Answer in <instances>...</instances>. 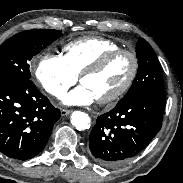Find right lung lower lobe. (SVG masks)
I'll use <instances>...</instances> for the list:
<instances>
[{
	"label": "right lung lower lobe",
	"instance_id": "right-lung-lower-lobe-1",
	"mask_svg": "<svg viewBox=\"0 0 183 183\" xmlns=\"http://www.w3.org/2000/svg\"><path fill=\"white\" fill-rule=\"evenodd\" d=\"M60 110L30 79L0 81V151L27 160L45 147Z\"/></svg>",
	"mask_w": 183,
	"mask_h": 183
}]
</instances>
